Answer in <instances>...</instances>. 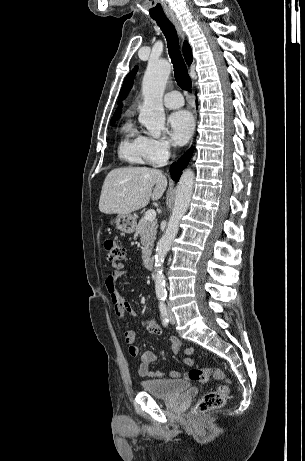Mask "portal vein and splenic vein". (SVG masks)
<instances>
[{"label":"portal vein and splenic vein","instance_id":"1","mask_svg":"<svg viewBox=\"0 0 305 461\" xmlns=\"http://www.w3.org/2000/svg\"><path fill=\"white\" fill-rule=\"evenodd\" d=\"M144 218L148 221H153L156 218V211L153 209L148 210L145 213Z\"/></svg>","mask_w":305,"mask_h":461}]
</instances>
